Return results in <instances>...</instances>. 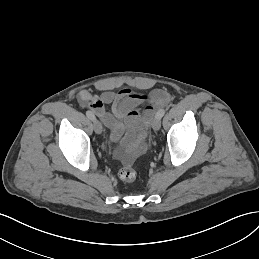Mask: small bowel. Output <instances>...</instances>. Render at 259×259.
I'll use <instances>...</instances> for the list:
<instances>
[{"label": "small bowel", "mask_w": 259, "mask_h": 259, "mask_svg": "<svg viewBox=\"0 0 259 259\" xmlns=\"http://www.w3.org/2000/svg\"><path fill=\"white\" fill-rule=\"evenodd\" d=\"M98 88L102 91L100 95H93L88 90L79 91V103L89 108L110 129V143L117 142L124 134L121 144L125 154H139L146 147L147 131L155 109L166 105L170 95L164 90H155L146 96L134 93L130 88L119 91L102 85ZM143 104L145 108L139 112L137 108ZM106 105H111V112Z\"/></svg>", "instance_id": "obj_1"}]
</instances>
